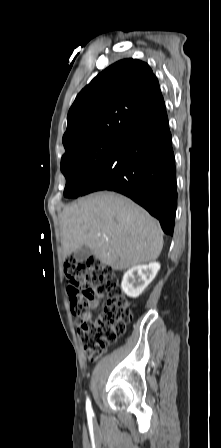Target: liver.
Instances as JSON below:
<instances>
[{
    "instance_id": "liver-1",
    "label": "liver",
    "mask_w": 221,
    "mask_h": 448,
    "mask_svg": "<svg viewBox=\"0 0 221 448\" xmlns=\"http://www.w3.org/2000/svg\"><path fill=\"white\" fill-rule=\"evenodd\" d=\"M61 243L64 257L86 245L101 263L125 270L157 259L163 234L158 221L130 199L98 192L64 208Z\"/></svg>"
}]
</instances>
